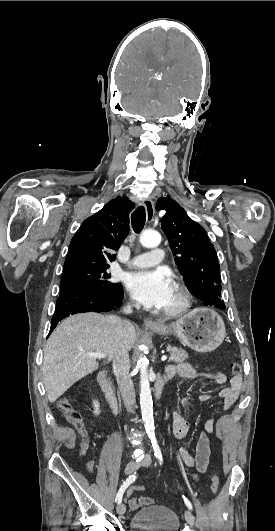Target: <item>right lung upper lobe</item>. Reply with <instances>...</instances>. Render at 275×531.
Masks as SVG:
<instances>
[{
	"mask_svg": "<svg viewBox=\"0 0 275 531\" xmlns=\"http://www.w3.org/2000/svg\"><path fill=\"white\" fill-rule=\"evenodd\" d=\"M135 205L125 196L108 202L87 218L73 236L63 271L82 266H109L129 233V214Z\"/></svg>",
	"mask_w": 275,
	"mask_h": 531,
	"instance_id": "right-lung-upper-lobe-1",
	"label": "right lung upper lobe"
}]
</instances>
